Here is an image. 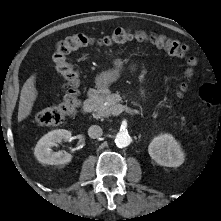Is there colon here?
I'll return each mask as SVG.
<instances>
[{
  "instance_id": "1",
  "label": "colon",
  "mask_w": 221,
  "mask_h": 221,
  "mask_svg": "<svg viewBox=\"0 0 221 221\" xmlns=\"http://www.w3.org/2000/svg\"><path fill=\"white\" fill-rule=\"evenodd\" d=\"M129 41H149L157 47L164 49L170 55L181 58L187 56L185 75L188 77L193 74L194 68L198 64L197 57L188 56L189 49L186 45L164 34L117 28L110 34L99 38H93L86 34L68 36L58 42L52 54L53 66L65 81V94L60 104L39 110L35 115L37 122L45 126H56L66 118L73 116L77 111L79 106L80 77L77 68L67 59L68 54L93 45L108 47ZM185 90L186 84L180 83L177 95L181 96ZM199 94L201 100L208 106L221 104V93L212 84H203ZM182 126L189 130L184 121H182Z\"/></svg>"
}]
</instances>
